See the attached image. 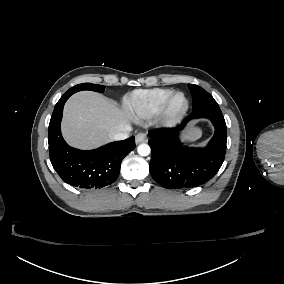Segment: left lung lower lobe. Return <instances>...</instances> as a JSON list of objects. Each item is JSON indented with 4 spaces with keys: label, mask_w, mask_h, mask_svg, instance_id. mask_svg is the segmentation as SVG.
I'll return each mask as SVG.
<instances>
[{
    "label": "left lung lower lobe",
    "mask_w": 284,
    "mask_h": 284,
    "mask_svg": "<svg viewBox=\"0 0 284 284\" xmlns=\"http://www.w3.org/2000/svg\"><path fill=\"white\" fill-rule=\"evenodd\" d=\"M194 118H208L215 127V134L205 148H189L179 141V132ZM149 137L150 174L166 189L204 184L218 172L225 158L226 123L218 104L196 108L180 126L150 131Z\"/></svg>",
    "instance_id": "left-lung-lower-lobe-1"
}]
</instances>
